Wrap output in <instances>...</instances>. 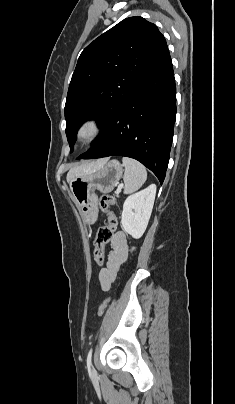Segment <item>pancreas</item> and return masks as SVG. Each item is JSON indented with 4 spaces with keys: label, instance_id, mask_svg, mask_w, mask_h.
Returning a JSON list of instances; mask_svg holds the SVG:
<instances>
[{
    "label": "pancreas",
    "instance_id": "1",
    "mask_svg": "<svg viewBox=\"0 0 235 404\" xmlns=\"http://www.w3.org/2000/svg\"><path fill=\"white\" fill-rule=\"evenodd\" d=\"M116 196H117V197H119V194H118V192H116Z\"/></svg>",
    "mask_w": 235,
    "mask_h": 404
}]
</instances>
